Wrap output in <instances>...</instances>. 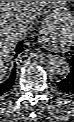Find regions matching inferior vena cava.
Segmentation results:
<instances>
[{
	"instance_id": "602c4592",
	"label": "inferior vena cava",
	"mask_w": 74,
	"mask_h": 122,
	"mask_svg": "<svg viewBox=\"0 0 74 122\" xmlns=\"http://www.w3.org/2000/svg\"><path fill=\"white\" fill-rule=\"evenodd\" d=\"M31 25V23L28 21L25 25H22L20 28L22 31H25L27 29V27H29Z\"/></svg>"
}]
</instances>
